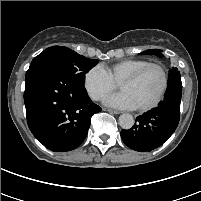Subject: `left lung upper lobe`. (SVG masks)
<instances>
[{
	"label": "left lung upper lobe",
	"instance_id": "obj_1",
	"mask_svg": "<svg viewBox=\"0 0 201 201\" xmlns=\"http://www.w3.org/2000/svg\"><path fill=\"white\" fill-rule=\"evenodd\" d=\"M161 52L162 51L159 50V49H150V50H146V51H144V52H142L140 54L141 55H143V54L153 55L154 54V55H157V56L161 57L162 56ZM173 76H180L178 69L174 68V67H172V69L169 72V79L171 77H173Z\"/></svg>",
	"mask_w": 201,
	"mask_h": 201
}]
</instances>
